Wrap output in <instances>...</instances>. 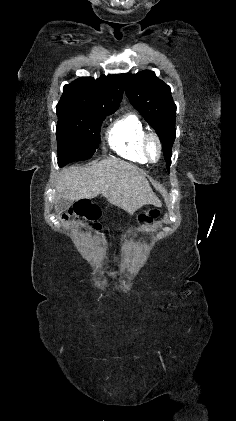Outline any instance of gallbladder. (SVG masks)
<instances>
[{
  "instance_id": "1",
  "label": "gallbladder",
  "mask_w": 236,
  "mask_h": 421,
  "mask_svg": "<svg viewBox=\"0 0 236 421\" xmlns=\"http://www.w3.org/2000/svg\"><path fill=\"white\" fill-rule=\"evenodd\" d=\"M73 200H70V198H64V196H61V198H58L55 208L57 213H63V211H67V208H70Z\"/></svg>"
}]
</instances>
